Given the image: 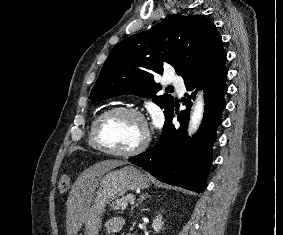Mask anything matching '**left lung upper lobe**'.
Returning <instances> with one entry per match:
<instances>
[{"label": "left lung upper lobe", "instance_id": "left-lung-upper-lobe-1", "mask_svg": "<svg viewBox=\"0 0 283 235\" xmlns=\"http://www.w3.org/2000/svg\"><path fill=\"white\" fill-rule=\"evenodd\" d=\"M225 60L222 39L213 22L202 15H169L112 49L89 99L97 102L124 94L153 98L167 118L174 99L169 94L156 96L161 86L154 81V74H162L168 63L186 82Z\"/></svg>", "mask_w": 283, "mask_h": 235}]
</instances>
